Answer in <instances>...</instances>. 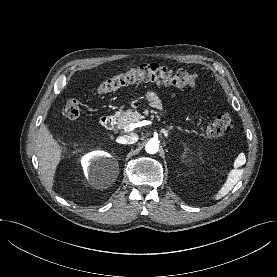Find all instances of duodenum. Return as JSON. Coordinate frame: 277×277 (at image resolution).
I'll use <instances>...</instances> for the list:
<instances>
[{
	"label": "duodenum",
	"instance_id": "obj_1",
	"mask_svg": "<svg viewBox=\"0 0 277 277\" xmlns=\"http://www.w3.org/2000/svg\"><path fill=\"white\" fill-rule=\"evenodd\" d=\"M116 121V113H111L103 116L100 120L101 125L106 129H112Z\"/></svg>",
	"mask_w": 277,
	"mask_h": 277
}]
</instances>
